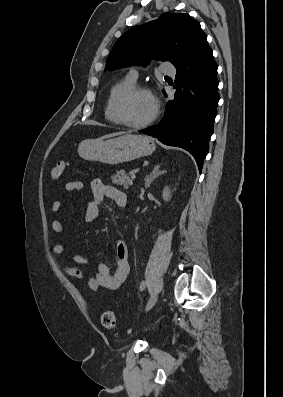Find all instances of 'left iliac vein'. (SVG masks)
Masks as SVG:
<instances>
[{
    "instance_id": "4c4485c4",
    "label": "left iliac vein",
    "mask_w": 283,
    "mask_h": 397,
    "mask_svg": "<svg viewBox=\"0 0 283 397\" xmlns=\"http://www.w3.org/2000/svg\"><path fill=\"white\" fill-rule=\"evenodd\" d=\"M157 299H158V295H157V294H153V295L151 296V298L149 299V301H148V303H147V305H146V309H145V310H146V311H149V310L155 305Z\"/></svg>"
}]
</instances>
